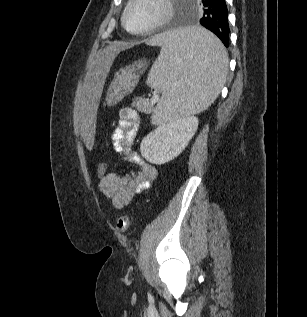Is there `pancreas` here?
Masks as SVG:
<instances>
[{"mask_svg": "<svg viewBox=\"0 0 307 317\" xmlns=\"http://www.w3.org/2000/svg\"><path fill=\"white\" fill-rule=\"evenodd\" d=\"M139 104L142 105L141 107L142 111H152L153 105L147 99L141 100Z\"/></svg>", "mask_w": 307, "mask_h": 317, "instance_id": "1", "label": "pancreas"}]
</instances>
